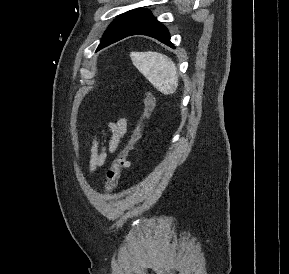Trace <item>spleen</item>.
I'll list each match as a JSON object with an SVG mask.
<instances>
[{
  "label": "spleen",
  "instance_id": "3e777b00",
  "mask_svg": "<svg viewBox=\"0 0 289 274\" xmlns=\"http://www.w3.org/2000/svg\"><path fill=\"white\" fill-rule=\"evenodd\" d=\"M134 66L146 79L165 95L173 94L178 87V74L174 62L158 52H132Z\"/></svg>",
  "mask_w": 289,
  "mask_h": 274
}]
</instances>
